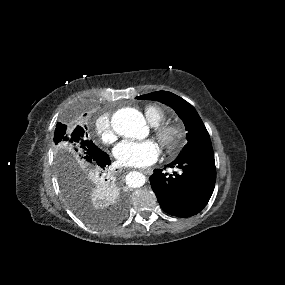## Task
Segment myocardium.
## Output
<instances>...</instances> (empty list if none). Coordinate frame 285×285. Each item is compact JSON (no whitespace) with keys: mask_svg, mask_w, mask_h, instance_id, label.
Wrapping results in <instances>:
<instances>
[{"mask_svg":"<svg viewBox=\"0 0 285 285\" xmlns=\"http://www.w3.org/2000/svg\"><path fill=\"white\" fill-rule=\"evenodd\" d=\"M154 133L163 149L169 155H175L184 143L185 128L179 122H166L154 125Z\"/></svg>","mask_w":285,"mask_h":285,"instance_id":"1","label":"myocardium"}]
</instances>
